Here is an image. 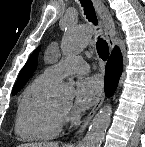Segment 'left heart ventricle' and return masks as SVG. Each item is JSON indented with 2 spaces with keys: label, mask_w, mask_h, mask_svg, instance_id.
Here are the masks:
<instances>
[{
  "label": "left heart ventricle",
  "mask_w": 145,
  "mask_h": 147,
  "mask_svg": "<svg viewBox=\"0 0 145 147\" xmlns=\"http://www.w3.org/2000/svg\"><path fill=\"white\" fill-rule=\"evenodd\" d=\"M68 106V103L62 104L61 108H66Z\"/></svg>",
  "instance_id": "obj_1"
}]
</instances>
